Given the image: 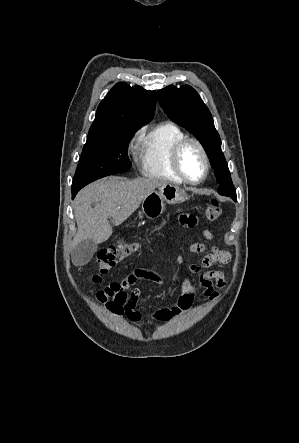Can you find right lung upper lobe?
Listing matches in <instances>:
<instances>
[{
	"instance_id": "right-lung-upper-lobe-1",
	"label": "right lung upper lobe",
	"mask_w": 299,
	"mask_h": 443,
	"mask_svg": "<svg viewBox=\"0 0 299 443\" xmlns=\"http://www.w3.org/2000/svg\"><path fill=\"white\" fill-rule=\"evenodd\" d=\"M156 92L117 83L98 106L88 135L116 129L141 127L154 116Z\"/></svg>"
}]
</instances>
